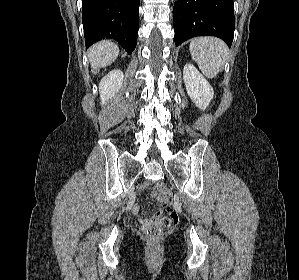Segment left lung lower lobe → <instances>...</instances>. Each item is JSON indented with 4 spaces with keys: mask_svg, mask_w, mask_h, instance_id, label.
<instances>
[{
    "mask_svg": "<svg viewBox=\"0 0 299 280\" xmlns=\"http://www.w3.org/2000/svg\"><path fill=\"white\" fill-rule=\"evenodd\" d=\"M175 44L196 36H216L230 47L234 36L233 0H178L174 5Z\"/></svg>",
    "mask_w": 299,
    "mask_h": 280,
    "instance_id": "obj_1",
    "label": "left lung lower lobe"
}]
</instances>
